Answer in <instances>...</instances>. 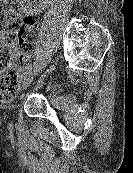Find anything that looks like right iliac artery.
<instances>
[{"label":"right iliac artery","mask_w":133,"mask_h":173,"mask_svg":"<svg viewBox=\"0 0 133 173\" xmlns=\"http://www.w3.org/2000/svg\"><path fill=\"white\" fill-rule=\"evenodd\" d=\"M32 68V65L31 64H28L24 67L23 69V75H26Z\"/></svg>","instance_id":"obj_1"}]
</instances>
